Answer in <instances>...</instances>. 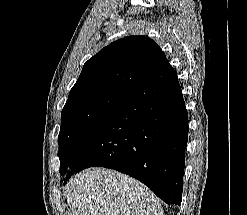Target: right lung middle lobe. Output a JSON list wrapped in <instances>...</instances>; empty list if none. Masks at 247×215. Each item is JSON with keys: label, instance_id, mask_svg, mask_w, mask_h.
Segmentation results:
<instances>
[{"label": "right lung middle lobe", "instance_id": "obj_1", "mask_svg": "<svg viewBox=\"0 0 247 215\" xmlns=\"http://www.w3.org/2000/svg\"><path fill=\"white\" fill-rule=\"evenodd\" d=\"M131 91L126 88H102L69 93L62 110L58 136L61 175L68 171L72 151L83 134L120 106Z\"/></svg>", "mask_w": 247, "mask_h": 215}]
</instances>
